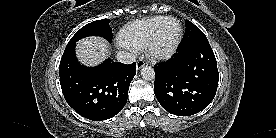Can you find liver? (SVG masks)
<instances>
[{"label": "liver", "instance_id": "6515ba94", "mask_svg": "<svg viewBox=\"0 0 276 138\" xmlns=\"http://www.w3.org/2000/svg\"><path fill=\"white\" fill-rule=\"evenodd\" d=\"M108 44L99 37H87L78 41V60L86 66H95L106 58Z\"/></svg>", "mask_w": 276, "mask_h": 138}]
</instances>
